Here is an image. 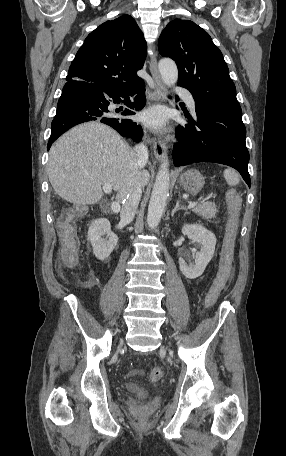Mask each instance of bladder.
Instances as JSON below:
<instances>
[{"label":"bladder","mask_w":286,"mask_h":456,"mask_svg":"<svg viewBox=\"0 0 286 456\" xmlns=\"http://www.w3.org/2000/svg\"><path fill=\"white\" fill-rule=\"evenodd\" d=\"M131 391L141 398L148 396V391L143 387H134L131 389Z\"/></svg>","instance_id":"31cf9c89"}]
</instances>
